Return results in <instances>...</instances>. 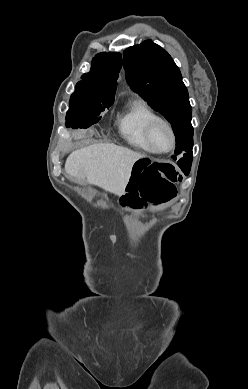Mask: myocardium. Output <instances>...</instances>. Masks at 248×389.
<instances>
[{
  "instance_id": "1",
  "label": "myocardium",
  "mask_w": 248,
  "mask_h": 389,
  "mask_svg": "<svg viewBox=\"0 0 248 389\" xmlns=\"http://www.w3.org/2000/svg\"><path fill=\"white\" fill-rule=\"evenodd\" d=\"M158 125H162L166 128L167 132H168V137H169V147L165 150H158V149H155L152 145V133L154 131V129L156 128V126ZM144 137H145V141L149 147V150L152 152V153H155V154H165V153H168L170 152L174 146H175V134H174V130L171 126V124L166 121L165 119L161 118V117H156L154 118L153 120H151L146 128H145V132H144Z\"/></svg>"
}]
</instances>
